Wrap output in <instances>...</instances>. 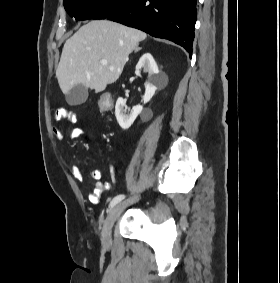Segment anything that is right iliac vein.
Returning <instances> with one entry per match:
<instances>
[{
    "label": "right iliac vein",
    "instance_id": "1",
    "mask_svg": "<svg viewBox=\"0 0 280 283\" xmlns=\"http://www.w3.org/2000/svg\"><path fill=\"white\" fill-rule=\"evenodd\" d=\"M141 196H136L128 201H124L122 203H119L116 205L108 214L102 230V244L104 247H109L112 243L111 240V230L116 222V220L119 218L121 213L124 211V209L129 206L130 204L136 203L140 200Z\"/></svg>",
    "mask_w": 280,
    "mask_h": 283
}]
</instances>
